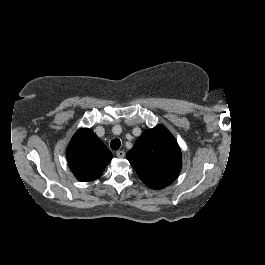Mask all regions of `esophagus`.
Here are the masks:
<instances>
[{
	"mask_svg": "<svg viewBox=\"0 0 265 265\" xmlns=\"http://www.w3.org/2000/svg\"><path fill=\"white\" fill-rule=\"evenodd\" d=\"M116 155H117L118 158L121 159V158L124 157L125 152H124V150H119V151L116 152Z\"/></svg>",
	"mask_w": 265,
	"mask_h": 265,
	"instance_id": "obj_1",
	"label": "esophagus"
}]
</instances>
